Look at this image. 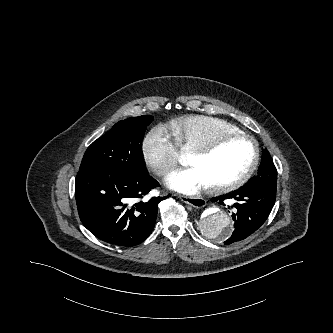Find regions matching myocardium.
Returning <instances> with one entry per match:
<instances>
[{"instance_id":"f54148a6","label":"myocardium","mask_w":333,"mask_h":333,"mask_svg":"<svg viewBox=\"0 0 333 333\" xmlns=\"http://www.w3.org/2000/svg\"><path fill=\"white\" fill-rule=\"evenodd\" d=\"M236 139H243L248 140L251 142L254 146V157L250 164V166L247 168V170L240 175L238 178L222 183L217 185H211L209 188L211 191L215 193H224L236 190L240 187H242L244 184H246L254 172L256 171L259 161H260V145L258 141L251 135L246 134L244 132H238V133H223L219 134L210 140L202 143L201 145L197 146L196 148L191 150V154L196 156H206L212 153L215 149H217L222 143L229 141V140H236Z\"/></svg>"}]
</instances>
